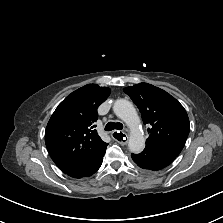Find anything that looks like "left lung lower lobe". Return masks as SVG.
Here are the masks:
<instances>
[{
    "label": "left lung lower lobe",
    "instance_id": "1",
    "mask_svg": "<svg viewBox=\"0 0 223 223\" xmlns=\"http://www.w3.org/2000/svg\"><path fill=\"white\" fill-rule=\"evenodd\" d=\"M131 156L140 168L147 171H158L171 164L178 155L157 147L146 146L141 153Z\"/></svg>",
    "mask_w": 223,
    "mask_h": 223
}]
</instances>
